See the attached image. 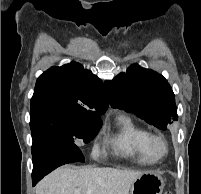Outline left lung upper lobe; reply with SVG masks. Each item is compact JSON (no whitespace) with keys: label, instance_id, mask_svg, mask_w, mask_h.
Instances as JSON below:
<instances>
[{"label":"left lung upper lobe","instance_id":"1","mask_svg":"<svg viewBox=\"0 0 201 194\" xmlns=\"http://www.w3.org/2000/svg\"><path fill=\"white\" fill-rule=\"evenodd\" d=\"M107 98L114 108L132 112L159 129L177 121V108L172 88L166 79L137 64L126 73L106 82Z\"/></svg>","mask_w":201,"mask_h":194}]
</instances>
